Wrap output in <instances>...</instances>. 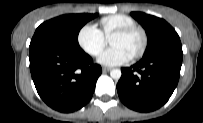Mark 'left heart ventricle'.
Segmentation results:
<instances>
[{
    "label": "left heart ventricle",
    "mask_w": 203,
    "mask_h": 123,
    "mask_svg": "<svg viewBox=\"0 0 203 123\" xmlns=\"http://www.w3.org/2000/svg\"><path fill=\"white\" fill-rule=\"evenodd\" d=\"M112 46H118L133 56L142 45V36L139 32H133L125 36H113L110 39Z\"/></svg>",
    "instance_id": "obj_1"
}]
</instances>
